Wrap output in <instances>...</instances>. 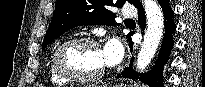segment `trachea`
I'll return each mask as SVG.
<instances>
[{
  "instance_id": "3493384b",
  "label": "trachea",
  "mask_w": 205,
  "mask_h": 87,
  "mask_svg": "<svg viewBox=\"0 0 205 87\" xmlns=\"http://www.w3.org/2000/svg\"><path fill=\"white\" fill-rule=\"evenodd\" d=\"M134 20H126V22H133Z\"/></svg>"
}]
</instances>
